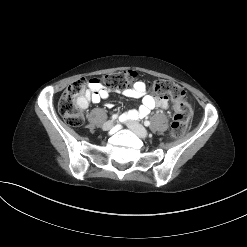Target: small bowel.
I'll use <instances>...</instances> for the list:
<instances>
[{"mask_svg": "<svg viewBox=\"0 0 247 247\" xmlns=\"http://www.w3.org/2000/svg\"><path fill=\"white\" fill-rule=\"evenodd\" d=\"M122 94L129 98L141 99L142 104L137 109H130L124 114L123 120L126 118L139 119L149 115L155 108L167 109L169 100L166 96H153L148 94L147 86L143 81L135 80L128 88L123 89ZM109 90L98 83L96 79H91L88 82L87 103H99L101 100L108 98ZM85 106V107H86ZM107 104V107H111Z\"/></svg>", "mask_w": 247, "mask_h": 247, "instance_id": "1", "label": "small bowel"}]
</instances>
